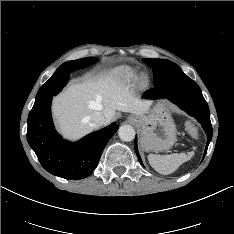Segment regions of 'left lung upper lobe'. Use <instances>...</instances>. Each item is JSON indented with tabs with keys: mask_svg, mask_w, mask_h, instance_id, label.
Segmentation results:
<instances>
[{
	"mask_svg": "<svg viewBox=\"0 0 234 234\" xmlns=\"http://www.w3.org/2000/svg\"><path fill=\"white\" fill-rule=\"evenodd\" d=\"M143 61L153 69L155 87L172 79L185 76L181 68L171 61L150 58H144Z\"/></svg>",
	"mask_w": 234,
	"mask_h": 234,
	"instance_id": "obj_1",
	"label": "left lung upper lobe"
}]
</instances>
